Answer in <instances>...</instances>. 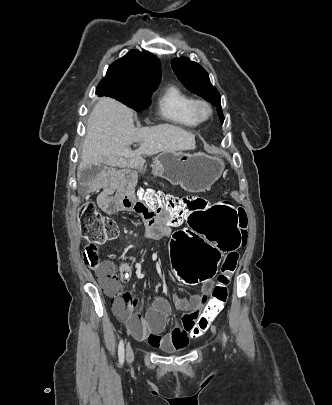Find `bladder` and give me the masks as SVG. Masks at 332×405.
Masks as SVG:
<instances>
[{
	"label": "bladder",
	"instance_id": "bladder-1",
	"mask_svg": "<svg viewBox=\"0 0 332 405\" xmlns=\"http://www.w3.org/2000/svg\"><path fill=\"white\" fill-rule=\"evenodd\" d=\"M175 351H177V350L176 349H168L166 352L173 353Z\"/></svg>",
	"mask_w": 332,
	"mask_h": 405
}]
</instances>
